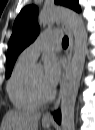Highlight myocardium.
<instances>
[{
    "mask_svg": "<svg viewBox=\"0 0 95 130\" xmlns=\"http://www.w3.org/2000/svg\"><path fill=\"white\" fill-rule=\"evenodd\" d=\"M30 88L33 97L40 103L44 104L50 102L55 97V90L52 89L47 95H43L39 88L37 87L36 83L34 82L33 78L30 77Z\"/></svg>",
    "mask_w": 95,
    "mask_h": 130,
    "instance_id": "obj_1",
    "label": "myocardium"
}]
</instances>
